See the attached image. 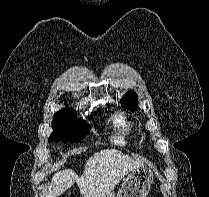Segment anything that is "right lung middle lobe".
Returning a JSON list of instances; mask_svg holds the SVG:
<instances>
[{
  "label": "right lung middle lobe",
  "instance_id": "right-lung-middle-lobe-1",
  "mask_svg": "<svg viewBox=\"0 0 209 197\" xmlns=\"http://www.w3.org/2000/svg\"><path fill=\"white\" fill-rule=\"evenodd\" d=\"M90 129L89 124L77 120L75 110L66 107L54 115L53 132L48 141H78L84 138Z\"/></svg>",
  "mask_w": 209,
  "mask_h": 197
}]
</instances>
